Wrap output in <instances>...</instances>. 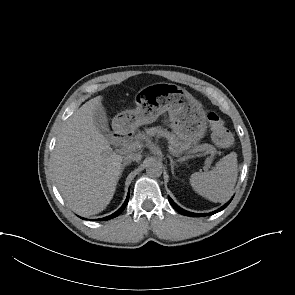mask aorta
<instances>
[{
	"label": "aorta",
	"mask_w": 295,
	"mask_h": 295,
	"mask_svg": "<svg viewBox=\"0 0 295 295\" xmlns=\"http://www.w3.org/2000/svg\"><path fill=\"white\" fill-rule=\"evenodd\" d=\"M146 173L151 177H159L162 174V164L156 160H150L146 166Z\"/></svg>",
	"instance_id": "762f6f07"
}]
</instances>
